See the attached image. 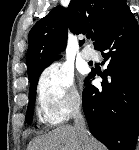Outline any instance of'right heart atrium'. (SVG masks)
Instances as JSON below:
<instances>
[{
	"mask_svg": "<svg viewBox=\"0 0 139 150\" xmlns=\"http://www.w3.org/2000/svg\"><path fill=\"white\" fill-rule=\"evenodd\" d=\"M37 102L42 120L49 125H58L76 113L81 97L73 73L60 64L45 68L37 84Z\"/></svg>",
	"mask_w": 139,
	"mask_h": 150,
	"instance_id": "1",
	"label": "right heart atrium"
}]
</instances>
